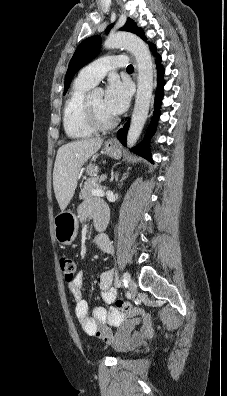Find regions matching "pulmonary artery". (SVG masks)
I'll return each mask as SVG.
<instances>
[{
	"mask_svg": "<svg viewBox=\"0 0 227 396\" xmlns=\"http://www.w3.org/2000/svg\"><path fill=\"white\" fill-rule=\"evenodd\" d=\"M128 64V59L124 55L119 56H105L95 60L86 67H84L78 78L90 85H95L100 81L109 71L125 67Z\"/></svg>",
	"mask_w": 227,
	"mask_h": 396,
	"instance_id": "obj_1",
	"label": "pulmonary artery"
}]
</instances>
